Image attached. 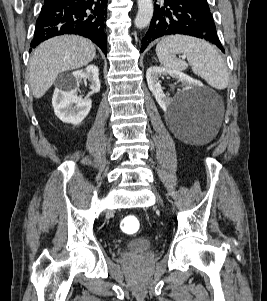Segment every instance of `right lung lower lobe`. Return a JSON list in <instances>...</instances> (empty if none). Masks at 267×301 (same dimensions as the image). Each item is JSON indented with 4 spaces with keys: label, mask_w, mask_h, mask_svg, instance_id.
Masks as SVG:
<instances>
[{
    "label": "right lung lower lobe",
    "mask_w": 267,
    "mask_h": 301,
    "mask_svg": "<svg viewBox=\"0 0 267 301\" xmlns=\"http://www.w3.org/2000/svg\"><path fill=\"white\" fill-rule=\"evenodd\" d=\"M108 0H54L46 3L36 21L31 49L50 37L78 34L91 39L107 53Z\"/></svg>",
    "instance_id": "98d812e1"
}]
</instances>
